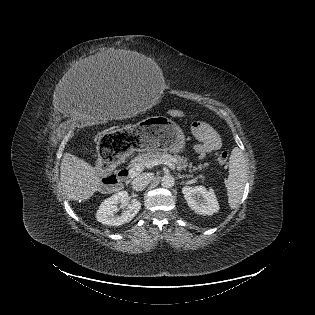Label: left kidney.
Segmentation results:
<instances>
[{
    "label": "left kidney",
    "mask_w": 315,
    "mask_h": 315,
    "mask_svg": "<svg viewBox=\"0 0 315 315\" xmlns=\"http://www.w3.org/2000/svg\"><path fill=\"white\" fill-rule=\"evenodd\" d=\"M182 193L188 206L197 214L212 215L219 210V204L212 188L208 190L204 186H185Z\"/></svg>",
    "instance_id": "left-kidney-1"
}]
</instances>
